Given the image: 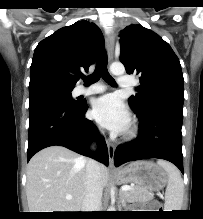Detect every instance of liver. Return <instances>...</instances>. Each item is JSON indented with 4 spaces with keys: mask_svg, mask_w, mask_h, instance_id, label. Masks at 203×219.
<instances>
[{
    "mask_svg": "<svg viewBox=\"0 0 203 219\" xmlns=\"http://www.w3.org/2000/svg\"><path fill=\"white\" fill-rule=\"evenodd\" d=\"M88 159L62 146H50L35 154L27 166L26 195L30 212H79L86 194ZM108 170L99 164L102 189ZM71 195L72 199H66Z\"/></svg>",
    "mask_w": 203,
    "mask_h": 219,
    "instance_id": "6515ba94",
    "label": "liver"
}]
</instances>
